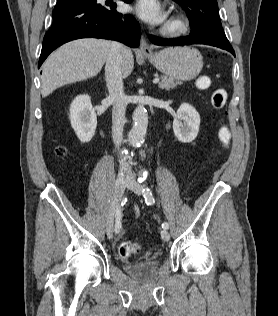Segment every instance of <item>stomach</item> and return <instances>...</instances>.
<instances>
[{
  "label": "stomach",
  "instance_id": "0dacf381",
  "mask_svg": "<svg viewBox=\"0 0 278 316\" xmlns=\"http://www.w3.org/2000/svg\"><path fill=\"white\" fill-rule=\"evenodd\" d=\"M146 57L160 72L182 81L194 79L203 67L200 52L190 47H170Z\"/></svg>",
  "mask_w": 278,
  "mask_h": 316
}]
</instances>
